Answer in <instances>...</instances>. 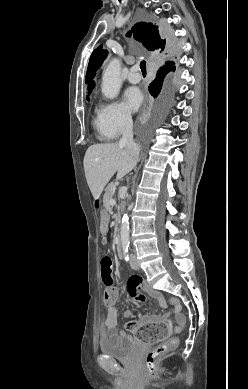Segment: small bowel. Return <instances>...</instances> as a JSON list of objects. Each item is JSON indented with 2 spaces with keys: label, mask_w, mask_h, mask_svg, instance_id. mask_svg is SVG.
Wrapping results in <instances>:
<instances>
[{
  "label": "small bowel",
  "mask_w": 248,
  "mask_h": 389,
  "mask_svg": "<svg viewBox=\"0 0 248 389\" xmlns=\"http://www.w3.org/2000/svg\"><path fill=\"white\" fill-rule=\"evenodd\" d=\"M145 273L144 272H131L130 276L127 277V293L129 297L132 299L134 304L140 305L143 303L147 296L157 299L163 306H165L164 296L156 290L151 289L148 284L144 280ZM114 289L118 295V290L116 287H111ZM107 290V289H106ZM115 303V302H114ZM114 303L108 305L106 312V319L103 323V336L112 335L119 333L123 336L129 337V335L124 331L117 330V312L114 307ZM159 319H162L161 316L158 315H150L144 318L145 322H155ZM133 330H136L133 329Z\"/></svg>",
  "instance_id": "1"
}]
</instances>
